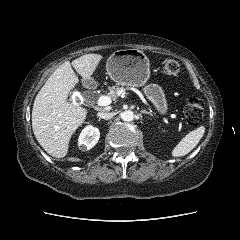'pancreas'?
<instances>
[{"instance_id":"cf45deb5","label":"pancreas","mask_w":240,"mask_h":240,"mask_svg":"<svg viewBox=\"0 0 240 240\" xmlns=\"http://www.w3.org/2000/svg\"><path fill=\"white\" fill-rule=\"evenodd\" d=\"M122 87L113 86L109 88L108 96L112 99H115L120 91H122Z\"/></svg>"}]
</instances>
